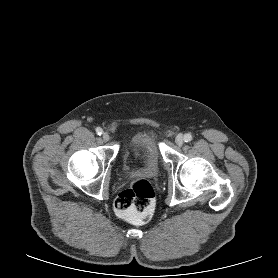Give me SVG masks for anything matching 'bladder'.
Here are the masks:
<instances>
[{
  "instance_id": "bladder-1",
  "label": "bladder",
  "mask_w": 278,
  "mask_h": 278,
  "mask_svg": "<svg viewBox=\"0 0 278 278\" xmlns=\"http://www.w3.org/2000/svg\"><path fill=\"white\" fill-rule=\"evenodd\" d=\"M129 153L143 160L142 172L155 175L159 170L160 153L156 137L149 132L136 134L129 145Z\"/></svg>"
}]
</instances>
